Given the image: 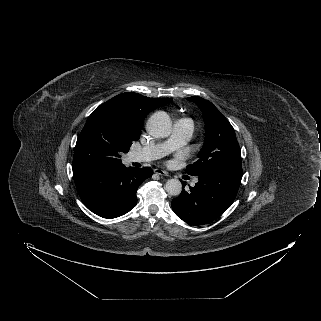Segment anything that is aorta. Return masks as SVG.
Returning <instances> with one entry per match:
<instances>
[{"label":"aorta","instance_id":"1","mask_svg":"<svg viewBox=\"0 0 321 321\" xmlns=\"http://www.w3.org/2000/svg\"><path fill=\"white\" fill-rule=\"evenodd\" d=\"M148 128L153 136L165 138L171 134L172 122L166 112L157 111L149 118ZM165 190L169 195H179L182 191V183L178 179H170L165 184Z\"/></svg>","mask_w":321,"mask_h":321}]
</instances>
